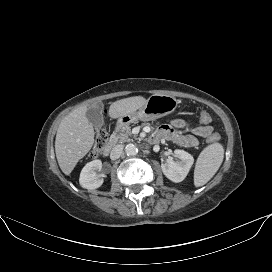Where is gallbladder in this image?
<instances>
[{
    "label": "gallbladder",
    "mask_w": 272,
    "mask_h": 272,
    "mask_svg": "<svg viewBox=\"0 0 272 272\" xmlns=\"http://www.w3.org/2000/svg\"><path fill=\"white\" fill-rule=\"evenodd\" d=\"M86 116L88 121L95 127L101 128L104 125V117L102 114L101 106L95 105L87 109Z\"/></svg>",
    "instance_id": "bac80fb5"
}]
</instances>
